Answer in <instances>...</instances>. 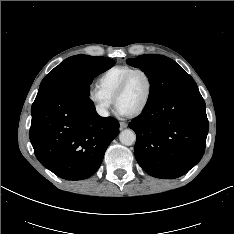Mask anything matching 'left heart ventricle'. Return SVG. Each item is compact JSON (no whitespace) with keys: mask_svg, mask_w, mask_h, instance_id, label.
<instances>
[{"mask_svg":"<svg viewBox=\"0 0 234 234\" xmlns=\"http://www.w3.org/2000/svg\"><path fill=\"white\" fill-rule=\"evenodd\" d=\"M148 91V81L143 73H136L130 79L126 91L118 98L117 107L127 114L138 109L144 102Z\"/></svg>","mask_w":234,"mask_h":234,"instance_id":"left-heart-ventricle-1","label":"left heart ventricle"}]
</instances>
